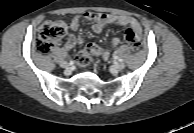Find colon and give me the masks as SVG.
<instances>
[{"instance_id": "colon-1", "label": "colon", "mask_w": 194, "mask_h": 133, "mask_svg": "<svg viewBox=\"0 0 194 133\" xmlns=\"http://www.w3.org/2000/svg\"><path fill=\"white\" fill-rule=\"evenodd\" d=\"M68 26L66 22L61 20L45 21L39 29L38 38L36 40V48L40 53H48L55 42L62 38L67 32ZM126 40L132 51L137 52L140 47V39L135 33L128 29L125 33ZM101 50L98 46L91 44L85 50L78 53L76 62L79 66H86L93 56L100 54Z\"/></svg>"}]
</instances>
